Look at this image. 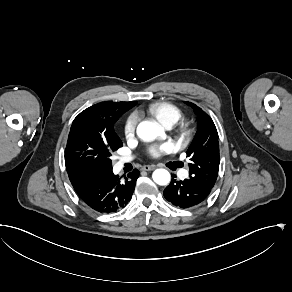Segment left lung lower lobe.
I'll return each instance as SVG.
<instances>
[{
	"instance_id": "1",
	"label": "left lung lower lobe",
	"mask_w": 292,
	"mask_h": 292,
	"mask_svg": "<svg viewBox=\"0 0 292 292\" xmlns=\"http://www.w3.org/2000/svg\"><path fill=\"white\" fill-rule=\"evenodd\" d=\"M212 188L192 182L189 179L183 181L171 180L164 189V197L174 206L186 209L197 206L210 194Z\"/></svg>"
}]
</instances>
